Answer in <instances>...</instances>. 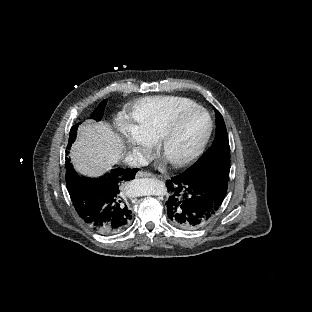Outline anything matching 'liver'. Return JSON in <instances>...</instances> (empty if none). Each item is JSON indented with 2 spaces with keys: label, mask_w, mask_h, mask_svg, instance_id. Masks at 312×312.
Returning a JSON list of instances; mask_svg holds the SVG:
<instances>
[{
  "label": "liver",
  "mask_w": 312,
  "mask_h": 312,
  "mask_svg": "<svg viewBox=\"0 0 312 312\" xmlns=\"http://www.w3.org/2000/svg\"><path fill=\"white\" fill-rule=\"evenodd\" d=\"M119 140L106 124L91 121L79 129L71 159L82 176H96L108 170L120 157Z\"/></svg>",
  "instance_id": "liver-1"
}]
</instances>
